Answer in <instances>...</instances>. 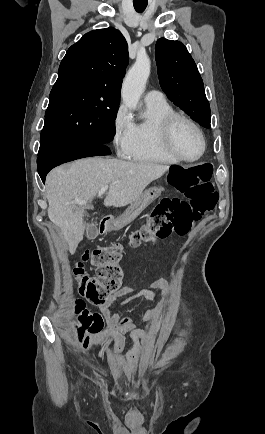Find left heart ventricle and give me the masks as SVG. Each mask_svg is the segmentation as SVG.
Here are the masks:
<instances>
[{
	"instance_id": "left-heart-ventricle-1",
	"label": "left heart ventricle",
	"mask_w": 265,
	"mask_h": 434,
	"mask_svg": "<svg viewBox=\"0 0 265 434\" xmlns=\"http://www.w3.org/2000/svg\"><path fill=\"white\" fill-rule=\"evenodd\" d=\"M176 146L180 154L187 159L198 157L202 151V142L196 131L187 124L181 123L175 136Z\"/></svg>"
}]
</instances>
